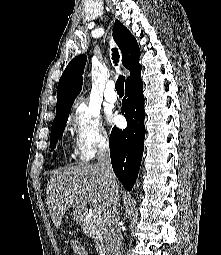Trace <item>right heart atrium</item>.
<instances>
[{"mask_svg":"<svg viewBox=\"0 0 221 255\" xmlns=\"http://www.w3.org/2000/svg\"><path fill=\"white\" fill-rule=\"evenodd\" d=\"M70 125L77 151L82 158L91 157L108 142V134L98 113L85 103L80 102L74 106Z\"/></svg>","mask_w":221,"mask_h":255,"instance_id":"right-heart-atrium-1","label":"right heart atrium"}]
</instances>
